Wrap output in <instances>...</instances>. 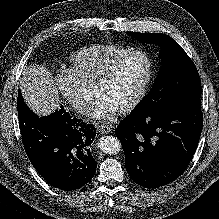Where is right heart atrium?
Instances as JSON below:
<instances>
[{
	"mask_svg": "<svg viewBox=\"0 0 219 219\" xmlns=\"http://www.w3.org/2000/svg\"><path fill=\"white\" fill-rule=\"evenodd\" d=\"M54 85L71 107L79 114H85L92 99L85 95L81 79L71 69L60 71L54 79Z\"/></svg>",
	"mask_w": 219,
	"mask_h": 219,
	"instance_id": "right-heart-atrium-1",
	"label": "right heart atrium"
}]
</instances>
